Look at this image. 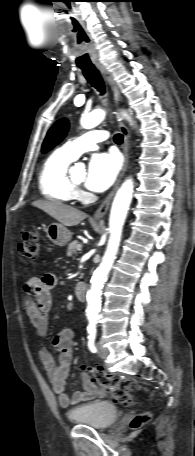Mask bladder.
<instances>
[{"instance_id": "bladder-1", "label": "bladder", "mask_w": 195, "mask_h": 456, "mask_svg": "<svg viewBox=\"0 0 195 456\" xmlns=\"http://www.w3.org/2000/svg\"><path fill=\"white\" fill-rule=\"evenodd\" d=\"M119 416V409L109 401H96L78 406L68 412L72 423L94 429L110 427Z\"/></svg>"}]
</instances>
